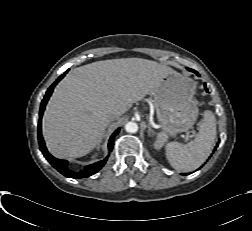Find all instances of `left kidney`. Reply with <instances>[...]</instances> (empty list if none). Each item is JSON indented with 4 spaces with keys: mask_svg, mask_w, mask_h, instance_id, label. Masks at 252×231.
<instances>
[{
    "mask_svg": "<svg viewBox=\"0 0 252 231\" xmlns=\"http://www.w3.org/2000/svg\"><path fill=\"white\" fill-rule=\"evenodd\" d=\"M164 140L163 139H158L157 141H155L154 143V148L156 150L161 149V147L163 146Z\"/></svg>",
    "mask_w": 252,
    "mask_h": 231,
    "instance_id": "obj_1",
    "label": "left kidney"
}]
</instances>
